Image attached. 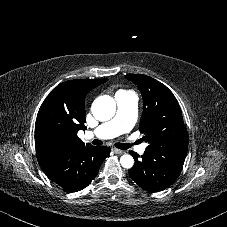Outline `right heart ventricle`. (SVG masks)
Returning <instances> with one entry per match:
<instances>
[{
	"instance_id": "obj_1",
	"label": "right heart ventricle",
	"mask_w": 227,
	"mask_h": 227,
	"mask_svg": "<svg viewBox=\"0 0 227 227\" xmlns=\"http://www.w3.org/2000/svg\"><path fill=\"white\" fill-rule=\"evenodd\" d=\"M133 93L131 90H127V89H119L116 91L115 93V97L118 95H126V94H131Z\"/></svg>"
}]
</instances>
